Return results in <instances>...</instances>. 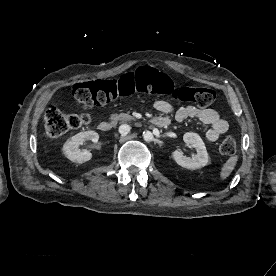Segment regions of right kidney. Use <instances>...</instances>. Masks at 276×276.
<instances>
[{"label":"right kidney","instance_id":"obj_1","mask_svg":"<svg viewBox=\"0 0 276 276\" xmlns=\"http://www.w3.org/2000/svg\"><path fill=\"white\" fill-rule=\"evenodd\" d=\"M99 135L97 132L89 130L80 132L69 138L63 145V154L72 162L84 163L92 158V153L88 150H81L79 147L83 142L91 140L98 142Z\"/></svg>","mask_w":276,"mask_h":276}]
</instances>
